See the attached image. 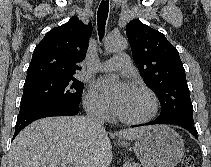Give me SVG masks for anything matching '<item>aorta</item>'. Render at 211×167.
Returning <instances> with one entry per match:
<instances>
[{
  "mask_svg": "<svg viewBox=\"0 0 211 167\" xmlns=\"http://www.w3.org/2000/svg\"><path fill=\"white\" fill-rule=\"evenodd\" d=\"M127 46V40L121 36H109L105 41V50L108 53L123 51Z\"/></svg>",
  "mask_w": 211,
  "mask_h": 167,
  "instance_id": "aorta-1",
  "label": "aorta"
}]
</instances>
